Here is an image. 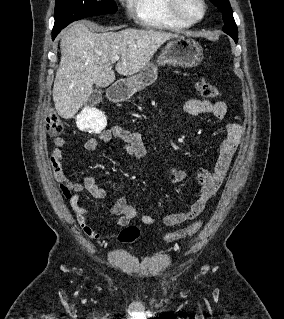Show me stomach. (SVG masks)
Here are the masks:
<instances>
[{"instance_id":"1","label":"stomach","mask_w":284,"mask_h":319,"mask_svg":"<svg viewBox=\"0 0 284 319\" xmlns=\"http://www.w3.org/2000/svg\"><path fill=\"white\" fill-rule=\"evenodd\" d=\"M203 59L201 45L192 38L177 36L167 43L158 57V65H179L194 67ZM157 79V65L148 64L139 74L123 80V84L131 93L140 91Z\"/></svg>"}]
</instances>
